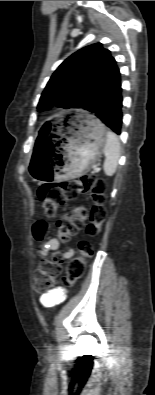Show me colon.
<instances>
[{"label":"colon","mask_w":155,"mask_h":395,"mask_svg":"<svg viewBox=\"0 0 155 395\" xmlns=\"http://www.w3.org/2000/svg\"><path fill=\"white\" fill-rule=\"evenodd\" d=\"M105 191L104 180L85 174L76 179L42 185L38 189V198L45 215L53 217L56 210L67 200L75 199L81 194H91L93 204L89 209L83 206L72 208L59 220L57 234L63 240H67L76 235L84 226L86 233L90 236H95L100 232L106 218ZM32 233L35 240L41 241L46 234L45 222H36ZM92 255V244L88 241H81L79 255L68 263L63 288H74V284L83 275L86 261ZM60 270V260L56 255L41 260L34 276L36 291L46 293L56 281Z\"/></svg>","instance_id":"obj_1"}]
</instances>
